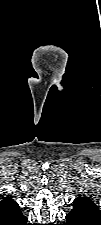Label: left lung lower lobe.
<instances>
[{"instance_id": "1", "label": "left lung lower lobe", "mask_w": 101, "mask_h": 225, "mask_svg": "<svg viewBox=\"0 0 101 225\" xmlns=\"http://www.w3.org/2000/svg\"><path fill=\"white\" fill-rule=\"evenodd\" d=\"M67 223L64 225H100V213L73 207L66 215Z\"/></svg>"}]
</instances>
